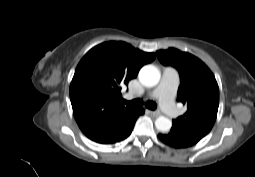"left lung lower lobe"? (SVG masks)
I'll return each instance as SVG.
<instances>
[{"label": "left lung lower lobe", "instance_id": "obj_1", "mask_svg": "<svg viewBox=\"0 0 255 177\" xmlns=\"http://www.w3.org/2000/svg\"><path fill=\"white\" fill-rule=\"evenodd\" d=\"M158 137L165 144L175 148H186L200 141V139L190 136L174 127L171 128L170 132L159 134Z\"/></svg>", "mask_w": 255, "mask_h": 177}]
</instances>
